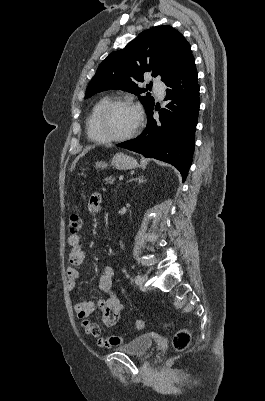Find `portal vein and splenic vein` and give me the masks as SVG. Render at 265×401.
Returning a JSON list of instances; mask_svg holds the SVG:
<instances>
[{"mask_svg":"<svg viewBox=\"0 0 265 401\" xmlns=\"http://www.w3.org/2000/svg\"><path fill=\"white\" fill-rule=\"evenodd\" d=\"M118 180H119V181H122V180H123V175H120V176L118 177Z\"/></svg>","mask_w":265,"mask_h":401,"instance_id":"18ae733b","label":"portal vein and splenic vein"}]
</instances>
